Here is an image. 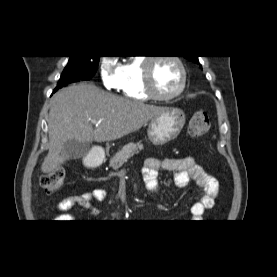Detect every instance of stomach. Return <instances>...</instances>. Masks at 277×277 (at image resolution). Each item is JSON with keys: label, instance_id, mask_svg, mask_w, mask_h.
Segmentation results:
<instances>
[{"label": "stomach", "instance_id": "0dacf381", "mask_svg": "<svg viewBox=\"0 0 277 277\" xmlns=\"http://www.w3.org/2000/svg\"><path fill=\"white\" fill-rule=\"evenodd\" d=\"M185 113L178 108H166L153 117L148 125L147 134L154 145H163L177 138L185 124Z\"/></svg>", "mask_w": 277, "mask_h": 277}]
</instances>
